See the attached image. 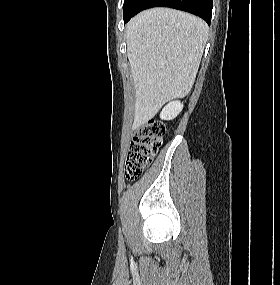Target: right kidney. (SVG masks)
<instances>
[{"instance_id": "obj_1", "label": "right kidney", "mask_w": 280, "mask_h": 285, "mask_svg": "<svg viewBox=\"0 0 280 285\" xmlns=\"http://www.w3.org/2000/svg\"><path fill=\"white\" fill-rule=\"evenodd\" d=\"M182 109L183 103H181L180 101L170 102L167 106L163 108L160 117L164 120H172L176 116H178Z\"/></svg>"}]
</instances>
